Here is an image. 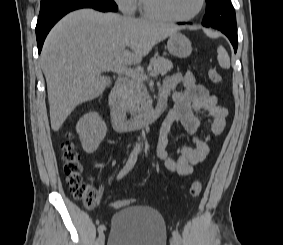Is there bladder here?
Here are the masks:
<instances>
[{
	"instance_id": "obj_1",
	"label": "bladder",
	"mask_w": 283,
	"mask_h": 245,
	"mask_svg": "<svg viewBox=\"0 0 283 245\" xmlns=\"http://www.w3.org/2000/svg\"><path fill=\"white\" fill-rule=\"evenodd\" d=\"M107 245H167L163 217L149 206H124L112 217Z\"/></svg>"
}]
</instances>
